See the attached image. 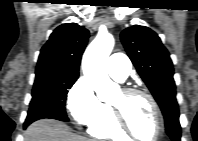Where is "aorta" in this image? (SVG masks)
I'll return each mask as SVG.
<instances>
[{
	"instance_id": "762f6f07",
	"label": "aorta",
	"mask_w": 198,
	"mask_h": 141,
	"mask_svg": "<svg viewBox=\"0 0 198 141\" xmlns=\"http://www.w3.org/2000/svg\"><path fill=\"white\" fill-rule=\"evenodd\" d=\"M115 44L114 37L107 33H98L87 47L82 60L84 76L96 92L99 100L109 102L119 87L107 74L106 63Z\"/></svg>"
}]
</instances>
